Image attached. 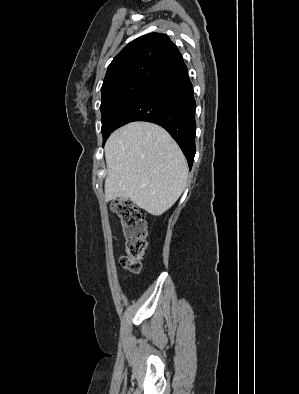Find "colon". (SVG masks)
<instances>
[{"label": "colon", "mask_w": 299, "mask_h": 394, "mask_svg": "<svg viewBox=\"0 0 299 394\" xmlns=\"http://www.w3.org/2000/svg\"><path fill=\"white\" fill-rule=\"evenodd\" d=\"M110 208L120 219L125 237V255L120 257V263L131 273H139L146 249L144 213L133 202L124 199L113 201Z\"/></svg>", "instance_id": "5ec220e1"}]
</instances>
